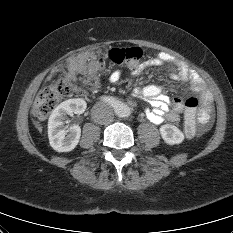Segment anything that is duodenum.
<instances>
[{
    "mask_svg": "<svg viewBox=\"0 0 233 233\" xmlns=\"http://www.w3.org/2000/svg\"><path fill=\"white\" fill-rule=\"evenodd\" d=\"M115 101H116V103H117V105H118L119 102H118L116 99H115Z\"/></svg>",
    "mask_w": 233,
    "mask_h": 233,
    "instance_id": "410a0bca",
    "label": "duodenum"
}]
</instances>
